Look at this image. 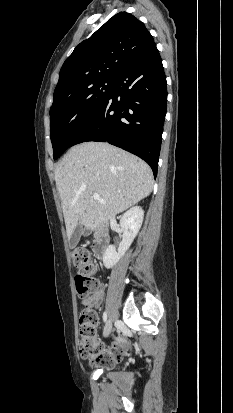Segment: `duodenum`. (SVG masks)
I'll return each instance as SVG.
<instances>
[{
    "instance_id": "1",
    "label": "duodenum",
    "mask_w": 233,
    "mask_h": 413,
    "mask_svg": "<svg viewBox=\"0 0 233 413\" xmlns=\"http://www.w3.org/2000/svg\"><path fill=\"white\" fill-rule=\"evenodd\" d=\"M109 244V235L104 229H97L95 231V240L93 243V252L96 257L100 258L105 253Z\"/></svg>"
}]
</instances>
